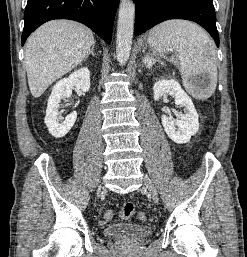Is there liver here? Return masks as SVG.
<instances>
[{
	"mask_svg": "<svg viewBox=\"0 0 247 257\" xmlns=\"http://www.w3.org/2000/svg\"><path fill=\"white\" fill-rule=\"evenodd\" d=\"M95 43L93 32L71 20H52L27 40L25 67L33 97H40L57 79L77 67Z\"/></svg>",
	"mask_w": 247,
	"mask_h": 257,
	"instance_id": "obj_1",
	"label": "liver"
}]
</instances>
